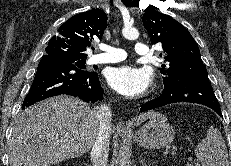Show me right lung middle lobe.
<instances>
[{"mask_svg":"<svg viewBox=\"0 0 231 166\" xmlns=\"http://www.w3.org/2000/svg\"><path fill=\"white\" fill-rule=\"evenodd\" d=\"M69 62L73 63L78 68L85 69L86 60H69Z\"/></svg>","mask_w":231,"mask_h":166,"instance_id":"obj_1","label":"right lung middle lobe"}]
</instances>
